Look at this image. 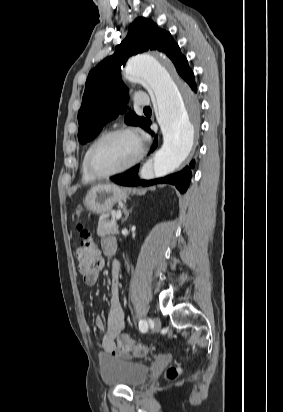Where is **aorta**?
<instances>
[{
    "mask_svg": "<svg viewBox=\"0 0 283 412\" xmlns=\"http://www.w3.org/2000/svg\"><path fill=\"white\" fill-rule=\"evenodd\" d=\"M167 60L152 55L132 57L126 65L129 79L141 82L155 96L157 119L163 133V146L153 157L155 177L174 172L190 154L195 140V111L192 93L186 85L179 87L171 77Z\"/></svg>",
    "mask_w": 283,
    "mask_h": 412,
    "instance_id": "obj_1",
    "label": "aorta"
}]
</instances>
